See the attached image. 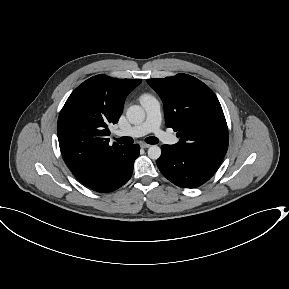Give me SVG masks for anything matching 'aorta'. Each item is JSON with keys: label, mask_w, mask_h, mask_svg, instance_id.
I'll use <instances>...</instances> for the list:
<instances>
[{"label": "aorta", "mask_w": 289, "mask_h": 289, "mask_svg": "<svg viewBox=\"0 0 289 289\" xmlns=\"http://www.w3.org/2000/svg\"><path fill=\"white\" fill-rule=\"evenodd\" d=\"M126 117L131 124H141L145 119V111L139 105H132L127 109ZM148 156L153 160H157L161 156V148L152 145L148 149Z\"/></svg>", "instance_id": "762f6f07"}]
</instances>
